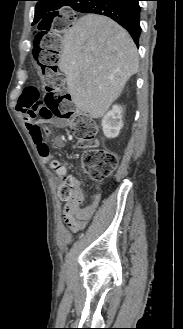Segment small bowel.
<instances>
[{
	"instance_id": "c3829d8e",
	"label": "small bowel",
	"mask_w": 183,
	"mask_h": 329,
	"mask_svg": "<svg viewBox=\"0 0 183 329\" xmlns=\"http://www.w3.org/2000/svg\"><path fill=\"white\" fill-rule=\"evenodd\" d=\"M22 121L25 124V127L27 131L30 134V137L34 144L37 146L39 153L41 156L44 157V159H48L51 154H50V148L47 153H42L40 150V146L43 142H45L43 135L40 131V129H36V124H35V119L34 116L30 114H19ZM59 125L61 126H66L65 121H60ZM39 127V126H37ZM55 146L57 147H62L65 144V138L64 137H57L54 141ZM72 184L74 187L78 189L80 192V200L79 203L76 206H65L64 208V219L66 223L74 230H80L86 226V224L89 222L91 217L94 215L99 202H100V194L99 193H94L90 197V202L82 206V203L86 197L85 190L82 186V183L76 179L75 177L71 176L70 177Z\"/></svg>"
}]
</instances>
